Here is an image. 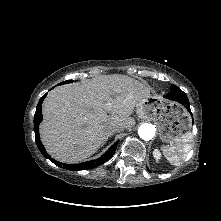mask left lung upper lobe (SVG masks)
I'll return each mask as SVG.
<instances>
[{"mask_svg":"<svg viewBox=\"0 0 221 221\" xmlns=\"http://www.w3.org/2000/svg\"><path fill=\"white\" fill-rule=\"evenodd\" d=\"M177 90H180V88H178L176 85H172L170 92H172V91H177Z\"/></svg>","mask_w":221,"mask_h":221,"instance_id":"obj_1","label":"left lung upper lobe"}]
</instances>
